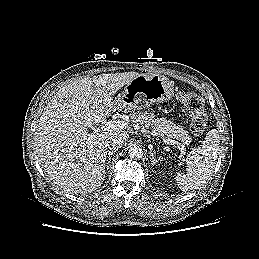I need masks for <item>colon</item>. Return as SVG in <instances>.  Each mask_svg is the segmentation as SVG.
<instances>
[{"mask_svg": "<svg viewBox=\"0 0 259 259\" xmlns=\"http://www.w3.org/2000/svg\"><path fill=\"white\" fill-rule=\"evenodd\" d=\"M177 99L190 114V127L194 134H202L207 125V113L204 109L203 99L193 92L181 91Z\"/></svg>", "mask_w": 259, "mask_h": 259, "instance_id": "1", "label": "colon"}]
</instances>
